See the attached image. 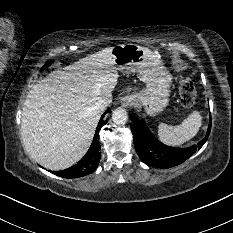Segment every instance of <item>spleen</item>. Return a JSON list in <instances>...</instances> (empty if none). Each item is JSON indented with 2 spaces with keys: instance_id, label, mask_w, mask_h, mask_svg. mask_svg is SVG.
I'll list each match as a JSON object with an SVG mask.
<instances>
[{
  "instance_id": "1",
  "label": "spleen",
  "mask_w": 233,
  "mask_h": 233,
  "mask_svg": "<svg viewBox=\"0 0 233 233\" xmlns=\"http://www.w3.org/2000/svg\"><path fill=\"white\" fill-rule=\"evenodd\" d=\"M202 125V116L195 110L178 126L167 125L164 123L158 126L159 139L171 146H180L192 139Z\"/></svg>"
}]
</instances>
